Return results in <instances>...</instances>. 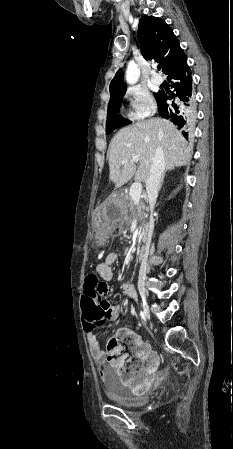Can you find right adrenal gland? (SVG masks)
<instances>
[{
  "mask_svg": "<svg viewBox=\"0 0 233 449\" xmlns=\"http://www.w3.org/2000/svg\"><path fill=\"white\" fill-rule=\"evenodd\" d=\"M168 170H171V169L168 168V167H166V169L164 170V172H163V174H162V177H161V180H160L159 189H161V187H162V185H163L164 177H165V174H166V172H167Z\"/></svg>",
  "mask_w": 233,
  "mask_h": 449,
  "instance_id": "right-adrenal-gland-1",
  "label": "right adrenal gland"
}]
</instances>
